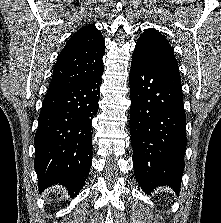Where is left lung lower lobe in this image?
<instances>
[{"label":"left lung lower lobe","mask_w":221,"mask_h":223,"mask_svg":"<svg viewBox=\"0 0 221 223\" xmlns=\"http://www.w3.org/2000/svg\"><path fill=\"white\" fill-rule=\"evenodd\" d=\"M130 133L138 184L149 194L169 186L177 194L187 144L178 67L134 51L129 75Z\"/></svg>","instance_id":"1"}]
</instances>
